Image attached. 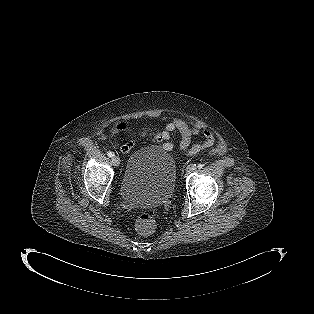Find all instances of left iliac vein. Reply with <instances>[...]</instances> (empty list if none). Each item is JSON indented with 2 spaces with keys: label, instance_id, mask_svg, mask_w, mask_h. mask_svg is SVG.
<instances>
[{
  "label": "left iliac vein",
  "instance_id": "4c4485c4",
  "mask_svg": "<svg viewBox=\"0 0 314 314\" xmlns=\"http://www.w3.org/2000/svg\"><path fill=\"white\" fill-rule=\"evenodd\" d=\"M196 165H194V164H189L188 166H187V168H186V172L187 173H192V172H194V171H196Z\"/></svg>",
  "mask_w": 314,
  "mask_h": 314
}]
</instances>
